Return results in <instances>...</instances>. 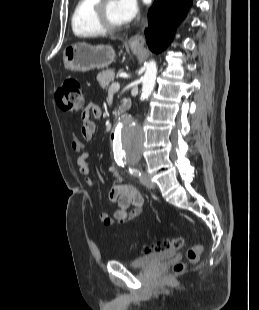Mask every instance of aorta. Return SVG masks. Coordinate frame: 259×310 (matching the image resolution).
<instances>
[{
  "mask_svg": "<svg viewBox=\"0 0 259 310\" xmlns=\"http://www.w3.org/2000/svg\"><path fill=\"white\" fill-rule=\"evenodd\" d=\"M157 75V65L151 61L146 66L143 76L141 99L147 98L153 91ZM144 133L142 128L133 120L129 113L124 114L118 121L112 147L114 154L128 160H138L142 155Z\"/></svg>",
  "mask_w": 259,
  "mask_h": 310,
  "instance_id": "obj_1",
  "label": "aorta"
}]
</instances>
